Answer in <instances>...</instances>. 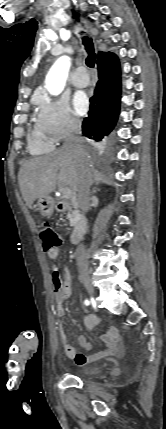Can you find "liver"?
Returning <instances> with one entry per match:
<instances>
[{
	"mask_svg": "<svg viewBox=\"0 0 166 429\" xmlns=\"http://www.w3.org/2000/svg\"><path fill=\"white\" fill-rule=\"evenodd\" d=\"M83 151L90 164V156L84 148ZM80 167V158L64 148L25 161L19 170L18 182L26 205L32 208L36 199L49 196L56 186L78 192Z\"/></svg>",
	"mask_w": 166,
	"mask_h": 429,
	"instance_id": "liver-1",
	"label": "liver"
}]
</instances>
